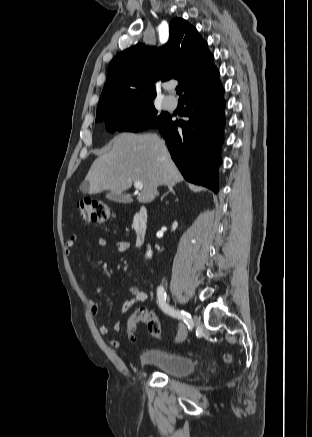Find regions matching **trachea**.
<instances>
[{
  "label": "trachea",
  "instance_id": "trachea-1",
  "mask_svg": "<svg viewBox=\"0 0 312 437\" xmlns=\"http://www.w3.org/2000/svg\"><path fill=\"white\" fill-rule=\"evenodd\" d=\"M176 92H177L178 95H181L182 94V88L180 86H178L176 88Z\"/></svg>",
  "mask_w": 312,
  "mask_h": 437
}]
</instances>
